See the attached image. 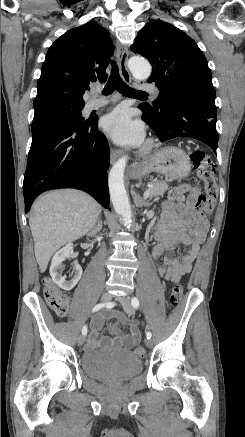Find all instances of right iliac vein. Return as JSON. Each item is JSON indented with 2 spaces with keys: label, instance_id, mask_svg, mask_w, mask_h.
<instances>
[{
  "label": "right iliac vein",
  "instance_id": "obj_1",
  "mask_svg": "<svg viewBox=\"0 0 245 437\" xmlns=\"http://www.w3.org/2000/svg\"><path fill=\"white\" fill-rule=\"evenodd\" d=\"M111 299H112V295H111L109 292H106V293H104V294L101 296V301H102L103 303H107V302H109ZM84 342H85V336L82 334V335H80V336L78 337V344H79V345H83Z\"/></svg>",
  "mask_w": 245,
  "mask_h": 437
}]
</instances>
